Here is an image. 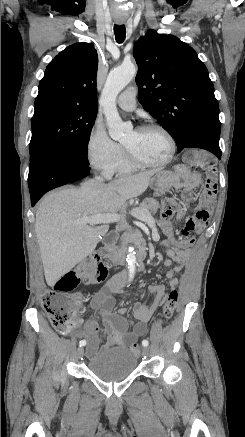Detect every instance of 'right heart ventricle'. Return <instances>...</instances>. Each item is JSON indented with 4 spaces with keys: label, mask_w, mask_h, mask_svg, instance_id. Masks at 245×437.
Returning <instances> with one entry per match:
<instances>
[{
    "label": "right heart ventricle",
    "mask_w": 245,
    "mask_h": 437,
    "mask_svg": "<svg viewBox=\"0 0 245 437\" xmlns=\"http://www.w3.org/2000/svg\"><path fill=\"white\" fill-rule=\"evenodd\" d=\"M139 169L138 166L131 163L125 156L124 152L117 165L114 168L113 173L117 175L129 174L137 171Z\"/></svg>",
    "instance_id": "1"
}]
</instances>
